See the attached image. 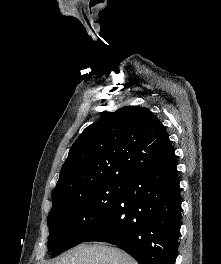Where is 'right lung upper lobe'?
<instances>
[{
  "label": "right lung upper lobe",
  "mask_w": 221,
  "mask_h": 264,
  "mask_svg": "<svg viewBox=\"0 0 221 264\" xmlns=\"http://www.w3.org/2000/svg\"><path fill=\"white\" fill-rule=\"evenodd\" d=\"M174 156L164 126L147 108L125 106L107 113L72 145L52 192V208L75 193L125 182Z\"/></svg>",
  "instance_id": "1"
}]
</instances>
